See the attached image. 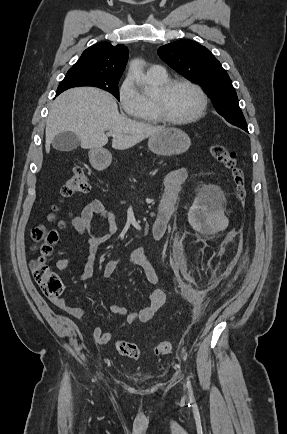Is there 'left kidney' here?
Listing matches in <instances>:
<instances>
[{
    "label": "left kidney",
    "instance_id": "1",
    "mask_svg": "<svg viewBox=\"0 0 287 434\" xmlns=\"http://www.w3.org/2000/svg\"><path fill=\"white\" fill-rule=\"evenodd\" d=\"M217 199L218 198L214 194L208 197V201L210 203L216 202ZM198 214H199V205H193L188 212V221L193 227H197L198 225V218H197Z\"/></svg>",
    "mask_w": 287,
    "mask_h": 434
}]
</instances>
